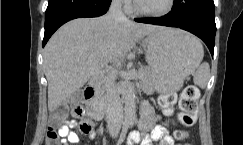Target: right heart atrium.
<instances>
[{"label":"right heart atrium","instance_id":"right-heart-atrium-1","mask_svg":"<svg viewBox=\"0 0 243 145\" xmlns=\"http://www.w3.org/2000/svg\"><path fill=\"white\" fill-rule=\"evenodd\" d=\"M116 1H118L119 3L124 5L125 7H128V6H130L132 0H116Z\"/></svg>","mask_w":243,"mask_h":145}]
</instances>
